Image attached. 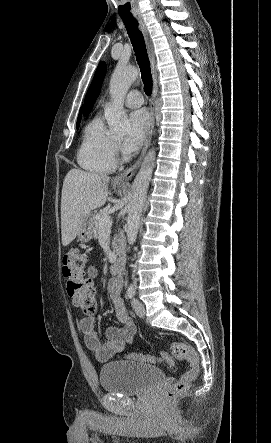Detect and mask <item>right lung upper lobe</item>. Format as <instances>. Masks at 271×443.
<instances>
[{
	"label": "right lung upper lobe",
	"instance_id": "cb5924a9",
	"mask_svg": "<svg viewBox=\"0 0 271 443\" xmlns=\"http://www.w3.org/2000/svg\"><path fill=\"white\" fill-rule=\"evenodd\" d=\"M81 111H82V110H80V113H79V116H78V120H81ZM78 120H77V121H78Z\"/></svg>",
	"mask_w": 271,
	"mask_h": 443
}]
</instances>
